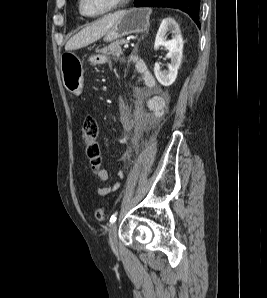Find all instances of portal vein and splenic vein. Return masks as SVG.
<instances>
[{
  "label": "portal vein and splenic vein",
  "instance_id": "portal-vein-and-splenic-vein-1",
  "mask_svg": "<svg viewBox=\"0 0 267 298\" xmlns=\"http://www.w3.org/2000/svg\"><path fill=\"white\" fill-rule=\"evenodd\" d=\"M128 47H129V44L125 43L124 48H128Z\"/></svg>",
  "mask_w": 267,
  "mask_h": 298
}]
</instances>
